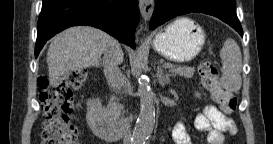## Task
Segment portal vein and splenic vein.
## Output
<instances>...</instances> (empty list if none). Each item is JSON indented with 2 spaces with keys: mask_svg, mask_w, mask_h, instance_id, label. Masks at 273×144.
Masks as SVG:
<instances>
[{
  "mask_svg": "<svg viewBox=\"0 0 273 144\" xmlns=\"http://www.w3.org/2000/svg\"><path fill=\"white\" fill-rule=\"evenodd\" d=\"M172 67H173V65L170 63L163 64V68H165V69L172 68Z\"/></svg>",
  "mask_w": 273,
  "mask_h": 144,
  "instance_id": "portal-vein-and-splenic-vein-1",
  "label": "portal vein and splenic vein"
}]
</instances>
